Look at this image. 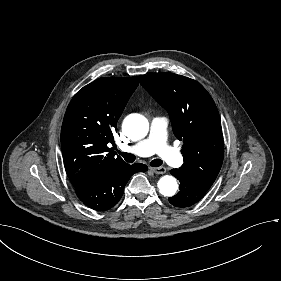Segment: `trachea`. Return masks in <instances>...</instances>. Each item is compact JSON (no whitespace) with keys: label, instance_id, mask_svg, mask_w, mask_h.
<instances>
[{"label":"trachea","instance_id":"trachea-1","mask_svg":"<svg viewBox=\"0 0 281 281\" xmlns=\"http://www.w3.org/2000/svg\"><path fill=\"white\" fill-rule=\"evenodd\" d=\"M118 153L124 158V160L127 163H133L136 159V156L131 153H126V152H121V151H118ZM162 164H163V161L161 159H154L153 161L150 162V165L152 167H159Z\"/></svg>","mask_w":281,"mask_h":281}]
</instances>
